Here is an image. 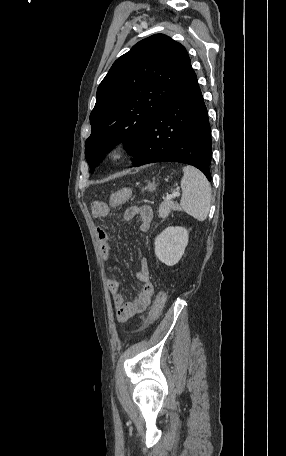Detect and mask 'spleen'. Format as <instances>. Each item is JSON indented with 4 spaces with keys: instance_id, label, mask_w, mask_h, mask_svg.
I'll return each instance as SVG.
<instances>
[{
    "instance_id": "spleen-1",
    "label": "spleen",
    "mask_w": 286,
    "mask_h": 456,
    "mask_svg": "<svg viewBox=\"0 0 286 456\" xmlns=\"http://www.w3.org/2000/svg\"><path fill=\"white\" fill-rule=\"evenodd\" d=\"M181 180L182 209L198 221H204L211 205V188L205 175L198 169L186 166Z\"/></svg>"
}]
</instances>
